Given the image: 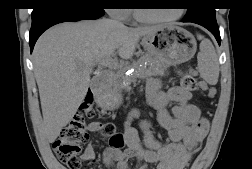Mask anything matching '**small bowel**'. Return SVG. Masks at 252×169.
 I'll list each match as a JSON object with an SVG mask.
<instances>
[{"instance_id": "c3829d8e", "label": "small bowel", "mask_w": 252, "mask_h": 169, "mask_svg": "<svg viewBox=\"0 0 252 169\" xmlns=\"http://www.w3.org/2000/svg\"><path fill=\"white\" fill-rule=\"evenodd\" d=\"M147 100L157 112V121L169 133L170 142L162 145L152 134L151 123L140 120L139 127L143 133V144L139 131L133 122L139 119V111L133 110L125 122L122 135L125 149L114 146L103 152V162L107 166L116 164L117 169H128V160L136 158L138 169H146L147 164H156V169H183L208 133V121L201 118L197 106L190 103L191 93L181 87L161 90L156 80L147 83ZM174 105L168 110L167 105ZM104 123H89L90 132H101ZM85 158L91 160L95 156L92 143H88L84 152Z\"/></svg>"}]
</instances>
